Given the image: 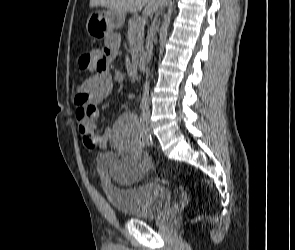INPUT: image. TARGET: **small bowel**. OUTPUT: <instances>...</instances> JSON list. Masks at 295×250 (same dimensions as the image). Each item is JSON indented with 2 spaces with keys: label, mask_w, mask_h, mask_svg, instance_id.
<instances>
[{
  "label": "small bowel",
  "mask_w": 295,
  "mask_h": 250,
  "mask_svg": "<svg viewBox=\"0 0 295 250\" xmlns=\"http://www.w3.org/2000/svg\"><path fill=\"white\" fill-rule=\"evenodd\" d=\"M119 43V36L112 34L106 39L103 49L90 53L93 58L92 74L76 88L74 103L77 108L83 106L89 110L78 126L84 146L104 150L111 145L120 151L122 155L110 174L118 184L127 185L142 177L149 167L148 158L142 154L141 128L135 115L126 113L113 127L107 126L101 132L97 128V105L112 91L110 65L118 55Z\"/></svg>",
  "instance_id": "1"
}]
</instances>
